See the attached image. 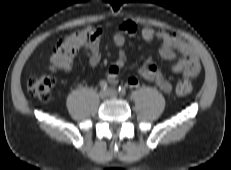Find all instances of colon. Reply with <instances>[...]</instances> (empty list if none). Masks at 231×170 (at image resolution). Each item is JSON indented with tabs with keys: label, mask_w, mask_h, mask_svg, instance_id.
<instances>
[{
	"label": "colon",
	"mask_w": 231,
	"mask_h": 170,
	"mask_svg": "<svg viewBox=\"0 0 231 170\" xmlns=\"http://www.w3.org/2000/svg\"><path fill=\"white\" fill-rule=\"evenodd\" d=\"M97 35V30L91 27H85L71 33L69 36L61 40L52 51L50 57L51 68L53 70L69 69L72 58L76 52L85 43L97 37ZM54 85L55 78L50 74H46L29 80L27 83V90L32 96L47 103L51 100ZM192 89L193 86L191 82L186 78L178 80L175 86L176 94L179 96L190 94Z\"/></svg>",
	"instance_id": "colon-1"
}]
</instances>
